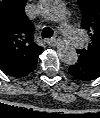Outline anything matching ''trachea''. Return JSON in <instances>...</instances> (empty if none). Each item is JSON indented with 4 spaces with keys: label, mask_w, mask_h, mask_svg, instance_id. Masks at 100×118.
<instances>
[{
    "label": "trachea",
    "mask_w": 100,
    "mask_h": 118,
    "mask_svg": "<svg viewBox=\"0 0 100 118\" xmlns=\"http://www.w3.org/2000/svg\"><path fill=\"white\" fill-rule=\"evenodd\" d=\"M53 36V30L50 27H44L42 30V38H51Z\"/></svg>",
    "instance_id": "trachea-1"
}]
</instances>
